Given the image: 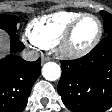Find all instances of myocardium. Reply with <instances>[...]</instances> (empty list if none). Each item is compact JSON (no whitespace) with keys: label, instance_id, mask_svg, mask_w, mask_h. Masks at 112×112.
I'll list each match as a JSON object with an SVG mask.
<instances>
[{"label":"myocardium","instance_id":"1","mask_svg":"<svg viewBox=\"0 0 112 112\" xmlns=\"http://www.w3.org/2000/svg\"><path fill=\"white\" fill-rule=\"evenodd\" d=\"M85 17H93L98 23V32L95 38L84 48L72 49L69 45L75 28L79 22ZM103 34V24L98 16L92 13H82L77 18H75L64 33L59 38L56 44V52L65 59H79L89 54L100 42Z\"/></svg>","mask_w":112,"mask_h":112}]
</instances>
